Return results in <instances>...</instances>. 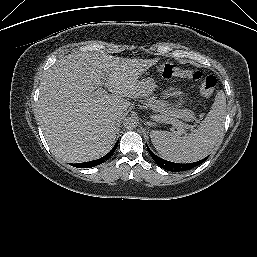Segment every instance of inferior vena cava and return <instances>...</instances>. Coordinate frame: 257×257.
Masks as SVG:
<instances>
[{"mask_svg": "<svg viewBox=\"0 0 257 257\" xmlns=\"http://www.w3.org/2000/svg\"><path fill=\"white\" fill-rule=\"evenodd\" d=\"M111 118L113 121L118 122L121 119V115L118 113H114V114H112Z\"/></svg>", "mask_w": 257, "mask_h": 257, "instance_id": "1", "label": "inferior vena cava"}]
</instances>
